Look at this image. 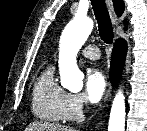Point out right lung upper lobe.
<instances>
[{"mask_svg": "<svg viewBox=\"0 0 147 131\" xmlns=\"http://www.w3.org/2000/svg\"><path fill=\"white\" fill-rule=\"evenodd\" d=\"M113 4L116 14L121 16L124 11V2L122 0H113Z\"/></svg>", "mask_w": 147, "mask_h": 131, "instance_id": "obj_1", "label": "right lung upper lobe"}]
</instances>
